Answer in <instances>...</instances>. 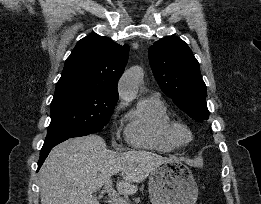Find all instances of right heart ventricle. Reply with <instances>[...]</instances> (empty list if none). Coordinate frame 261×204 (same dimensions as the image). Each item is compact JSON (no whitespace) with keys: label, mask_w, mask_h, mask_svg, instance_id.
Here are the masks:
<instances>
[{"label":"right heart ventricle","mask_w":261,"mask_h":204,"mask_svg":"<svg viewBox=\"0 0 261 204\" xmlns=\"http://www.w3.org/2000/svg\"><path fill=\"white\" fill-rule=\"evenodd\" d=\"M171 116L158 97L143 98L127 116L125 137L134 148L171 152L179 145L170 133Z\"/></svg>","instance_id":"e07e8e85"}]
</instances>
